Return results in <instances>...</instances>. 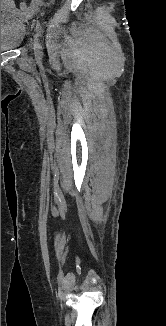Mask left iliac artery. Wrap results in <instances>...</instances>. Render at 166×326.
<instances>
[{
	"label": "left iliac artery",
	"instance_id": "left-iliac-artery-1",
	"mask_svg": "<svg viewBox=\"0 0 166 326\" xmlns=\"http://www.w3.org/2000/svg\"><path fill=\"white\" fill-rule=\"evenodd\" d=\"M36 30H37L38 36L42 37L43 30H42L41 24H40V22L38 20H36Z\"/></svg>",
	"mask_w": 166,
	"mask_h": 326
}]
</instances>
